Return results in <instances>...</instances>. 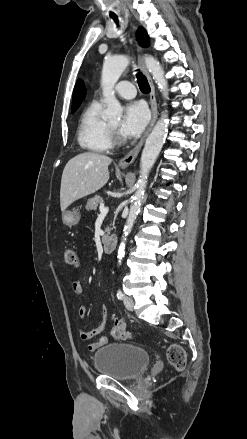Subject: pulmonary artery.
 Wrapping results in <instances>:
<instances>
[{
    "mask_svg": "<svg viewBox=\"0 0 247 439\" xmlns=\"http://www.w3.org/2000/svg\"><path fill=\"white\" fill-rule=\"evenodd\" d=\"M115 93L125 99H131L135 96L134 86L129 81H121L115 87Z\"/></svg>",
    "mask_w": 247,
    "mask_h": 439,
    "instance_id": "1",
    "label": "pulmonary artery"
}]
</instances>
